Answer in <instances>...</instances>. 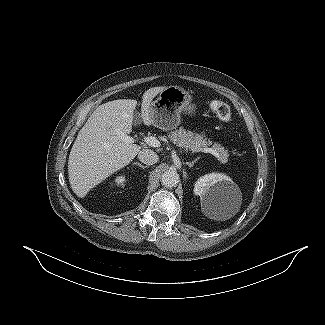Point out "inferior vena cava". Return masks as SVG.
<instances>
[{
	"mask_svg": "<svg viewBox=\"0 0 325 325\" xmlns=\"http://www.w3.org/2000/svg\"><path fill=\"white\" fill-rule=\"evenodd\" d=\"M138 159L146 165H153L157 163L159 158L153 150L143 149L139 152Z\"/></svg>",
	"mask_w": 325,
	"mask_h": 325,
	"instance_id": "602c4592",
	"label": "inferior vena cava"
}]
</instances>
